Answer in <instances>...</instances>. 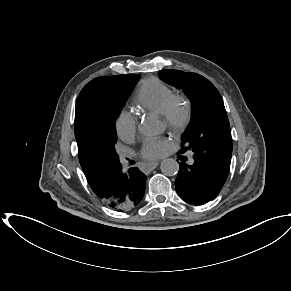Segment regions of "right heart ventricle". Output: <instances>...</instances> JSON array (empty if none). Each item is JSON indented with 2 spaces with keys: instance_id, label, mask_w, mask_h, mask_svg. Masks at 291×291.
I'll return each mask as SVG.
<instances>
[{
  "instance_id": "right-heart-ventricle-1",
  "label": "right heart ventricle",
  "mask_w": 291,
  "mask_h": 291,
  "mask_svg": "<svg viewBox=\"0 0 291 291\" xmlns=\"http://www.w3.org/2000/svg\"><path fill=\"white\" fill-rule=\"evenodd\" d=\"M173 89L156 77L143 80L136 92L135 106L138 110L149 111L161 115L169 106Z\"/></svg>"
}]
</instances>
